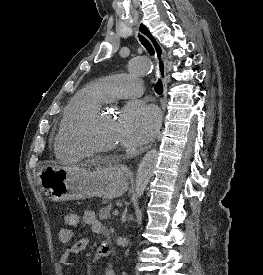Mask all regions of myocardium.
I'll return each mask as SVG.
<instances>
[{"mask_svg": "<svg viewBox=\"0 0 263 275\" xmlns=\"http://www.w3.org/2000/svg\"><path fill=\"white\" fill-rule=\"evenodd\" d=\"M108 107L101 105L86 114L69 132L72 142L88 155L111 153L120 148L117 144H101L92 138V132Z\"/></svg>", "mask_w": 263, "mask_h": 275, "instance_id": "1", "label": "myocardium"}]
</instances>
